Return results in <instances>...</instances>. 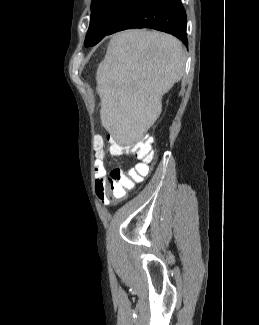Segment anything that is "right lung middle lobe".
I'll return each mask as SVG.
<instances>
[{"instance_id":"1","label":"right lung middle lobe","mask_w":259,"mask_h":325,"mask_svg":"<svg viewBox=\"0 0 259 325\" xmlns=\"http://www.w3.org/2000/svg\"><path fill=\"white\" fill-rule=\"evenodd\" d=\"M131 0H92L89 29L85 46H94L104 38L111 26Z\"/></svg>"}]
</instances>
